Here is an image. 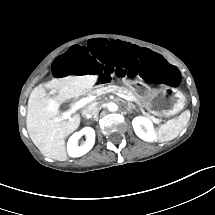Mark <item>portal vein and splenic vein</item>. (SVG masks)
Here are the masks:
<instances>
[{"mask_svg":"<svg viewBox=\"0 0 215 215\" xmlns=\"http://www.w3.org/2000/svg\"><path fill=\"white\" fill-rule=\"evenodd\" d=\"M107 92H112L113 94H115L116 96L120 97V98H124V99H129L128 96L120 93V92H115L113 90H107ZM95 99V96H86L83 97L82 99H80L76 104H75V108H81L83 107L85 104L92 102Z\"/></svg>","mask_w":215,"mask_h":215,"instance_id":"portal-vein-and-splenic-vein-1","label":"portal vein and splenic vein"}]
</instances>
